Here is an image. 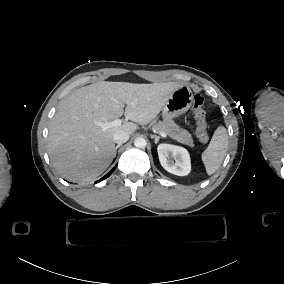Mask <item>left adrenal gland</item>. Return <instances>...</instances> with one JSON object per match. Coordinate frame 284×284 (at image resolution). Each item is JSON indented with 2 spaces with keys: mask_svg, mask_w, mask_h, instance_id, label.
<instances>
[{
  "mask_svg": "<svg viewBox=\"0 0 284 284\" xmlns=\"http://www.w3.org/2000/svg\"><path fill=\"white\" fill-rule=\"evenodd\" d=\"M151 138H152V139L155 138V143L158 144V142H159V140H160L161 137H160V136H157V135H152Z\"/></svg>",
  "mask_w": 284,
  "mask_h": 284,
  "instance_id": "a2214340",
  "label": "left adrenal gland"
}]
</instances>
